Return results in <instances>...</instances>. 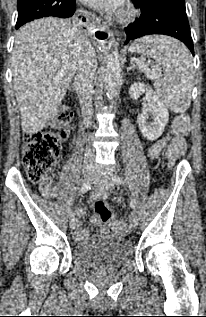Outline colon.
Here are the masks:
<instances>
[{
  "label": "colon",
  "mask_w": 206,
  "mask_h": 317,
  "mask_svg": "<svg viewBox=\"0 0 206 317\" xmlns=\"http://www.w3.org/2000/svg\"><path fill=\"white\" fill-rule=\"evenodd\" d=\"M71 119V110L62 107L52 122L36 133L27 134L24 138L23 164L27 176L32 182L38 183L43 191H48L51 187L49 175L61 152L62 143L69 136ZM189 129V117L186 114L177 115L172 125L175 138L169 144L166 153L171 161L185 153V136L189 133ZM93 209L100 220L112 222V213L104 201H96ZM111 228L121 235L129 232L127 224L123 222H112Z\"/></svg>",
  "instance_id": "5ec220e1"
}]
</instances>
